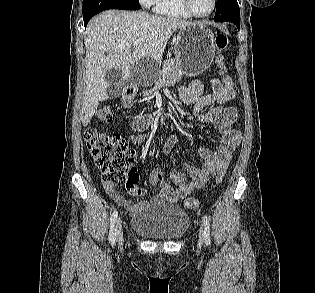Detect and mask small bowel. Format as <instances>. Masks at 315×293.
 <instances>
[{
    "label": "small bowel",
    "instance_id": "small-bowel-1",
    "mask_svg": "<svg viewBox=\"0 0 315 293\" xmlns=\"http://www.w3.org/2000/svg\"><path fill=\"white\" fill-rule=\"evenodd\" d=\"M216 80H220V78L211 80L212 91L207 94H204L202 83L198 79H194L187 86L180 88L179 95L186 104L193 105L194 114L199 120L205 123H214V128L218 132V147L214 151L206 148L199 150V156L202 160L200 167L183 165L189 179L181 171L172 170L170 181L176 188H173L165 178L161 167H155L149 175L148 182L152 187H160V190L151 198V202L176 203L204 187L212 175L217 174L222 168H226L234 151L239 146L241 134L233 127L238 118L237 111L234 107L225 105L226 102L234 98V94L224 92L222 89L224 85L216 83ZM206 108L209 109L205 110ZM178 138V132L170 135L162 148L164 154L171 151ZM129 140L133 145H138L145 142L146 136L141 133L133 134ZM104 189L118 206L132 214H137L149 203L146 200L135 203L122 196L114 185L108 183H104ZM141 195L146 197L148 192L143 190Z\"/></svg>",
    "mask_w": 315,
    "mask_h": 293
}]
</instances>
